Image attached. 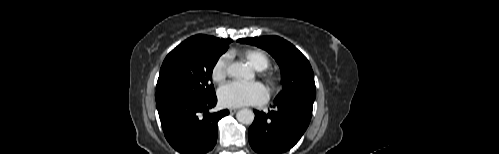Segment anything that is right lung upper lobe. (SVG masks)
Here are the masks:
<instances>
[{
  "label": "right lung upper lobe",
  "instance_id": "1",
  "mask_svg": "<svg viewBox=\"0 0 499 154\" xmlns=\"http://www.w3.org/2000/svg\"><path fill=\"white\" fill-rule=\"evenodd\" d=\"M189 39H206V40L219 41V42H223V43H229V42L232 41L231 39H219V38L212 37V36H207V35H195V36H192Z\"/></svg>",
  "mask_w": 499,
  "mask_h": 154
}]
</instances>
